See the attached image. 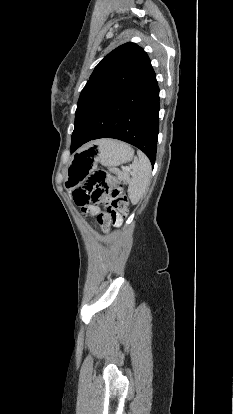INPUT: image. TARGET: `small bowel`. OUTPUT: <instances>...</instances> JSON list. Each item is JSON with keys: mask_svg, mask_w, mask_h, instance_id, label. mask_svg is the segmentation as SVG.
I'll return each instance as SVG.
<instances>
[{"mask_svg": "<svg viewBox=\"0 0 233 414\" xmlns=\"http://www.w3.org/2000/svg\"><path fill=\"white\" fill-rule=\"evenodd\" d=\"M82 210L85 213H88L93 217H98V215L101 212V209L98 206H95V205H86V206L82 207ZM120 223H121V219H120V217H118L113 224L118 226V225H120Z\"/></svg>", "mask_w": 233, "mask_h": 414, "instance_id": "small-bowel-1", "label": "small bowel"}]
</instances>
